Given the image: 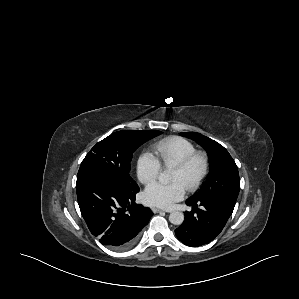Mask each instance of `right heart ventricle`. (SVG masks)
<instances>
[{"mask_svg":"<svg viewBox=\"0 0 299 299\" xmlns=\"http://www.w3.org/2000/svg\"><path fill=\"white\" fill-rule=\"evenodd\" d=\"M154 148L157 159L164 167H173L186 156L196 151L192 142L179 136L163 138L155 143Z\"/></svg>","mask_w":299,"mask_h":299,"instance_id":"obj_1","label":"right heart ventricle"}]
</instances>
